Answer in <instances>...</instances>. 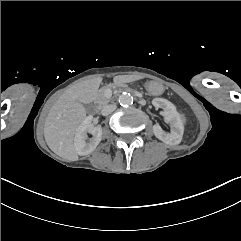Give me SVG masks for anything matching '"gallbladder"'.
<instances>
[{
    "mask_svg": "<svg viewBox=\"0 0 241 241\" xmlns=\"http://www.w3.org/2000/svg\"><path fill=\"white\" fill-rule=\"evenodd\" d=\"M83 106H84V108L87 109V111H90V110H92L94 108L92 105L85 104V103H83Z\"/></svg>",
    "mask_w": 241,
    "mask_h": 241,
    "instance_id": "gallbladder-1",
    "label": "gallbladder"
}]
</instances>
